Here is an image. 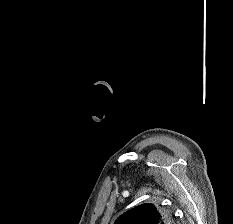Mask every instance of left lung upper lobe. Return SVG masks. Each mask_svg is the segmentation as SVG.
<instances>
[{
  "label": "left lung upper lobe",
  "mask_w": 233,
  "mask_h": 224,
  "mask_svg": "<svg viewBox=\"0 0 233 224\" xmlns=\"http://www.w3.org/2000/svg\"><path fill=\"white\" fill-rule=\"evenodd\" d=\"M172 220L168 212L147 203L128 210L114 224H172Z\"/></svg>",
  "instance_id": "1"
}]
</instances>
